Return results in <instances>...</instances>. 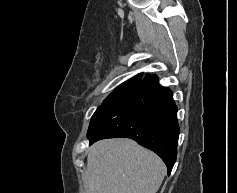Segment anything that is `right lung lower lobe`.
<instances>
[{"mask_svg": "<svg viewBox=\"0 0 237 193\" xmlns=\"http://www.w3.org/2000/svg\"><path fill=\"white\" fill-rule=\"evenodd\" d=\"M176 113L171 90L160 86L155 75L146 76L123 101L93 115L87 137L90 144L104 138L133 139L159 155L169 175L177 157Z\"/></svg>", "mask_w": 237, "mask_h": 193, "instance_id": "obj_1", "label": "right lung lower lobe"}]
</instances>
